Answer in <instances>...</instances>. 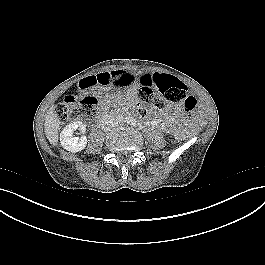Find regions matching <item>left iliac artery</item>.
<instances>
[{"label": "left iliac artery", "instance_id": "left-iliac-artery-1", "mask_svg": "<svg viewBox=\"0 0 265 265\" xmlns=\"http://www.w3.org/2000/svg\"><path fill=\"white\" fill-rule=\"evenodd\" d=\"M124 122L130 125H136V120L132 117H126Z\"/></svg>", "mask_w": 265, "mask_h": 265}]
</instances>
